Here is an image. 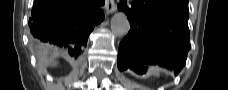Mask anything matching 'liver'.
<instances>
[{
	"label": "liver",
	"instance_id": "1",
	"mask_svg": "<svg viewBox=\"0 0 228 90\" xmlns=\"http://www.w3.org/2000/svg\"><path fill=\"white\" fill-rule=\"evenodd\" d=\"M41 61H42V62H45V61H46V58H45V57H42V58H41Z\"/></svg>",
	"mask_w": 228,
	"mask_h": 90
}]
</instances>
